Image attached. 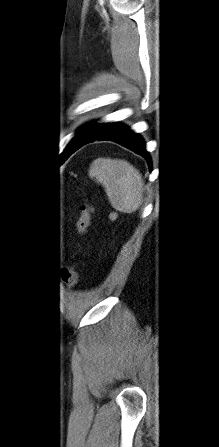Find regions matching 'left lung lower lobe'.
<instances>
[{"label":"left lung lower lobe","mask_w":219,"mask_h":447,"mask_svg":"<svg viewBox=\"0 0 219 447\" xmlns=\"http://www.w3.org/2000/svg\"><path fill=\"white\" fill-rule=\"evenodd\" d=\"M100 140H111L115 141L130 150H133L137 154L143 156L148 163H150L149 154L146 151L145 143L142 138L131 131L128 127L119 123H104L96 130L93 134L89 135L88 138L73 145L66 153L62 154V159H67L72 153H74L81 146Z\"/></svg>","instance_id":"obj_1"}]
</instances>
